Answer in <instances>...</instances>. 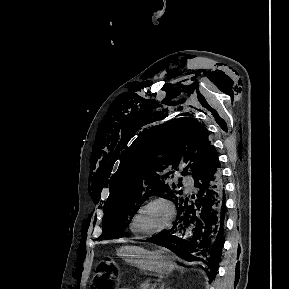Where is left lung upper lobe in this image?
Masks as SVG:
<instances>
[{
	"label": "left lung upper lobe",
	"mask_w": 289,
	"mask_h": 289,
	"mask_svg": "<svg viewBox=\"0 0 289 289\" xmlns=\"http://www.w3.org/2000/svg\"><path fill=\"white\" fill-rule=\"evenodd\" d=\"M204 125L180 117L147 130L124 153L112 176L110 195L104 204L103 232L99 240L121 238L125 225L150 196L175 202L182 196V178L195 175L209 160L215 147Z\"/></svg>",
	"instance_id": "obj_1"
}]
</instances>
